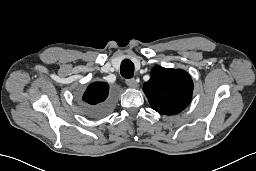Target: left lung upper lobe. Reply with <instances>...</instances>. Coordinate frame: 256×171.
Listing matches in <instances>:
<instances>
[{
    "label": "left lung upper lobe",
    "instance_id": "5c2ea615",
    "mask_svg": "<svg viewBox=\"0 0 256 171\" xmlns=\"http://www.w3.org/2000/svg\"><path fill=\"white\" fill-rule=\"evenodd\" d=\"M143 91L151 107L160 114L174 115L190 102L193 92L191 76L184 70L154 67Z\"/></svg>",
    "mask_w": 256,
    "mask_h": 171
}]
</instances>
